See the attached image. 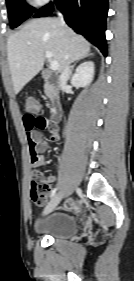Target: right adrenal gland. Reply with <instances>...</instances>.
<instances>
[{
    "label": "right adrenal gland",
    "mask_w": 134,
    "mask_h": 281,
    "mask_svg": "<svg viewBox=\"0 0 134 281\" xmlns=\"http://www.w3.org/2000/svg\"><path fill=\"white\" fill-rule=\"evenodd\" d=\"M92 55H93L92 53H89L87 56H92ZM75 65H76V63L72 66L71 73H72V71H73Z\"/></svg>",
    "instance_id": "right-adrenal-gland-1"
}]
</instances>
